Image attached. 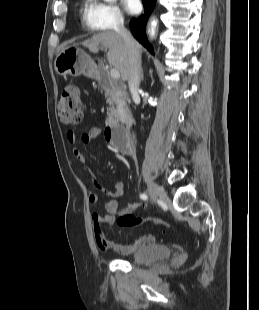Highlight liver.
Segmentation results:
<instances>
[{
	"mask_svg": "<svg viewBox=\"0 0 259 310\" xmlns=\"http://www.w3.org/2000/svg\"><path fill=\"white\" fill-rule=\"evenodd\" d=\"M82 45L96 53L99 49H108L107 60L109 64L120 72L123 81L129 76V55L122 37L113 31H107L93 35L90 39L82 42ZM139 54L143 52L141 45L136 42Z\"/></svg>",
	"mask_w": 259,
	"mask_h": 310,
	"instance_id": "1",
	"label": "liver"
}]
</instances>
